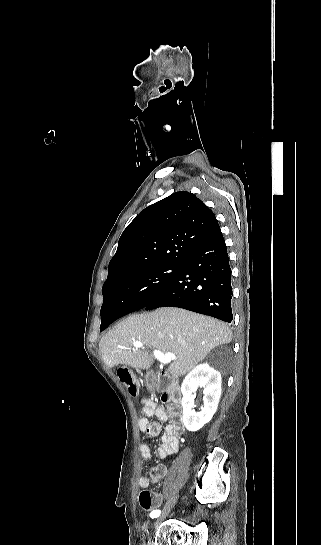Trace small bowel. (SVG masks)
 Listing matches in <instances>:
<instances>
[{
  "mask_svg": "<svg viewBox=\"0 0 321 545\" xmlns=\"http://www.w3.org/2000/svg\"><path fill=\"white\" fill-rule=\"evenodd\" d=\"M141 416L138 420L139 430L143 435L148 437L157 436L163 431L161 443L157 449V456L165 459L168 456L178 452L179 441L183 433V427L178 420V413L174 407H169L167 410L157 406L154 400L144 397L141 399ZM156 417L158 422H150L149 418ZM164 423V426L161 425ZM140 454L143 459L151 461L153 454L150 446L146 441L140 445ZM167 472L164 465L153 467L148 474H143L139 477L138 485L141 488H147L150 483H157L162 479Z\"/></svg>",
  "mask_w": 321,
  "mask_h": 545,
  "instance_id": "small-bowel-1",
  "label": "small bowel"
}]
</instances>
